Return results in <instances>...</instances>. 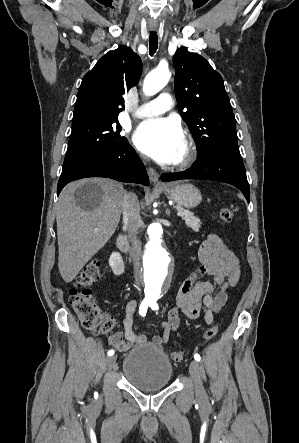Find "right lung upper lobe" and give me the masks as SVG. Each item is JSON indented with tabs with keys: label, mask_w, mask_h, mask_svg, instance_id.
I'll return each instance as SVG.
<instances>
[{
	"label": "right lung upper lobe",
	"mask_w": 299,
	"mask_h": 443,
	"mask_svg": "<svg viewBox=\"0 0 299 443\" xmlns=\"http://www.w3.org/2000/svg\"><path fill=\"white\" fill-rule=\"evenodd\" d=\"M141 71L140 57L128 47H119L104 55L82 80L72 123L88 118L118 117L124 109L122 95L137 84Z\"/></svg>",
	"instance_id": "cb5924a9"
}]
</instances>
